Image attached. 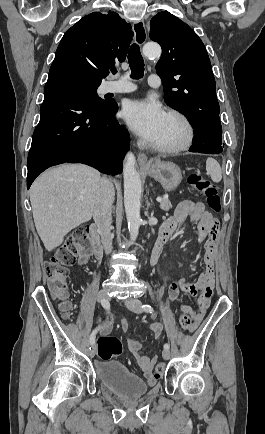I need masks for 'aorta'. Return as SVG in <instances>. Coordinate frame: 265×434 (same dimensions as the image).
Segmentation results:
<instances>
[{
	"instance_id": "aorta-1",
	"label": "aorta",
	"mask_w": 265,
	"mask_h": 434,
	"mask_svg": "<svg viewBox=\"0 0 265 434\" xmlns=\"http://www.w3.org/2000/svg\"><path fill=\"white\" fill-rule=\"evenodd\" d=\"M142 52L147 58L161 54L157 44H145ZM135 162L134 154L128 152L123 166L124 206L131 240H136L141 224L140 198L142 186L140 176L135 168Z\"/></svg>"
}]
</instances>
